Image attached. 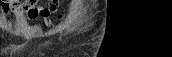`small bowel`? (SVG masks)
Masks as SVG:
<instances>
[{"mask_svg":"<svg viewBox=\"0 0 172 57\" xmlns=\"http://www.w3.org/2000/svg\"><path fill=\"white\" fill-rule=\"evenodd\" d=\"M37 0H28V1H24V2H20V1H0V12L2 14H5L9 9L13 10L15 12L16 15L18 16H22V12L21 10H26L29 8H34L35 5L37 4ZM57 7V3L56 1H54L49 7L46 8H40L39 12L36 14H28V18L33 20L36 19L38 16L42 17V18H48L51 14L52 11H54ZM52 8L53 10H48V11H44L45 9H49Z\"/></svg>","mask_w":172,"mask_h":57,"instance_id":"c3829d8e","label":"small bowel"}]
</instances>
